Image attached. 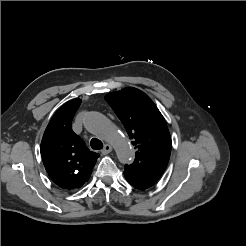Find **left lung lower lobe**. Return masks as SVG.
I'll return each mask as SVG.
<instances>
[{
    "instance_id": "obj_1",
    "label": "left lung lower lobe",
    "mask_w": 246,
    "mask_h": 246,
    "mask_svg": "<svg viewBox=\"0 0 246 246\" xmlns=\"http://www.w3.org/2000/svg\"><path fill=\"white\" fill-rule=\"evenodd\" d=\"M124 176L129 184H131L134 188L138 190H146L156 183L155 181L126 167L124 169Z\"/></svg>"
}]
</instances>
